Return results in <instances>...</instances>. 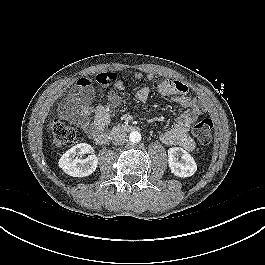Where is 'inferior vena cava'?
Segmentation results:
<instances>
[{"label": "inferior vena cava", "mask_w": 265, "mask_h": 265, "mask_svg": "<svg viewBox=\"0 0 265 265\" xmlns=\"http://www.w3.org/2000/svg\"><path fill=\"white\" fill-rule=\"evenodd\" d=\"M128 141L126 133H118L113 137L112 143L114 145H124Z\"/></svg>", "instance_id": "obj_1"}]
</instances>
